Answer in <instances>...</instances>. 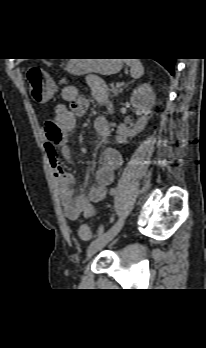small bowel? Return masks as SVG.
Masks as SVG:
<instances>
[{"label": "small bowel", "mask_w": 206, "mask_h": 348, "mask_svg": "<svg viewBox=\"0 0 206 348\" xmlns=\"http://www.w3.org/2000/svg\"><path fill=\"white\" fill-rule=\"evenodd\" d=\"M88 85L93 98L100 104L108 103V86L97 77H89ZM65 104L55 107V117L44 128L46 141L44 151L53 172L57 193L64 208L65 217L76 221L81 216L89 217L94 212V206L104 200L107 187L113 182L114 173L122 165V157L115 149H107L101 155V162L94 173L95 183L87 195L74 197V177L66 172L61 164V156L68 154L67 135L76 126V118L86 113L89 100L82 95L78 88L72 85L65 86L61 91ZM93 128L99 135L110 133V125L106 118L97 117Z\"/></svg>", "instance_id": "small-bowel-1"}]
</instances>
